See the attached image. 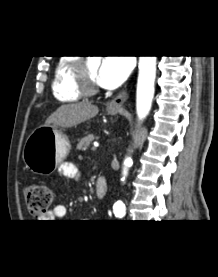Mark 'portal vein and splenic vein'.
I'll use <instances>...</instances> for the list:
<instances>
[{
    "label": "portal vein and splenic vein",
    "instance_id": "obj_1",
    "mask_svg": "<svg viewBox=\"0 0 218 277\" xmlns=\"http://www.w3.org/2000/svg\"><path fill=\"white\" fill-rule=\"evenodd\" d=\"M96 149H97V146L94 145V146L92 147V151H95Z\"/></svg>",
    "mask_w": 218,
    "mask_h": 277
}]
</instances>
